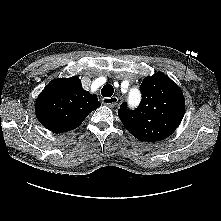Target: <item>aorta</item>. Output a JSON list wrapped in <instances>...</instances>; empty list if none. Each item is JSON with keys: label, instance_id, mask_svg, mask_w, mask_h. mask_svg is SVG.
Returning a JSON list of instances; mask_svg holds the SVG:
<instances>
[{"label": "aorta", "instance_id": "762f6f07", "mask_svg": "<svg viewBox=\"0 0 221 221\" xmlns=\"http://www.w3.org/2000/svg\"><path fill=\"white\" fill-rule=\"evenodd\" d=\"M129 101L130 102H137L138 101V95L134 92V93H131L129 95Z\"/></svg>", "mask_w": 221, "mask_h": 221}]
</instances>
